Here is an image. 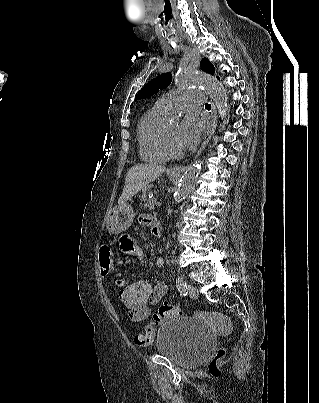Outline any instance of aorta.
<instances>
[{"label": "aorta", "instance_id": "1", "mask_svg": "<svg viewBox=\"0 0 319 403\" xmlns=\"http://www.w3.org/2000/svg\"><path fill=\"white\" fill-rule=\"evenodd\" d=\"M175 83L181 87H201L207 90L218 110L219 117L223 120L228 110V97L226 90L218 79L208 74H178ZM201 161L190 166L183 174L178 188L174 194L175 203L182 202L194 187L201 170ZM171 227V225H169Z\"/></svg>", "mask_w": 319, "mask_h": 403}]
</instances>
